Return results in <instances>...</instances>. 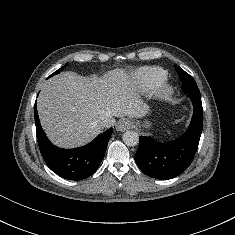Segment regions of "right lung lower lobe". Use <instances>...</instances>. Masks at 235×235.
<instances>
[{"label": "right lung lower lobe", "mask_w": 235, "mask_h": 235, "mask_svg": "<svg viewBox=\"0 0 235 235\" xmlns=\"http://www.w3.org/2000/svg\"><path fill=\"white\" fill-rule=\"evenodd\" d=\"M34 115L40 152L53 172L65 179L82 180L91 176L98 169L112 135V128L98 135L85 146L76 149H61L54 146L42 130L36 104Z\"/></svg>", "instance_id": "1"}]
</instances>
